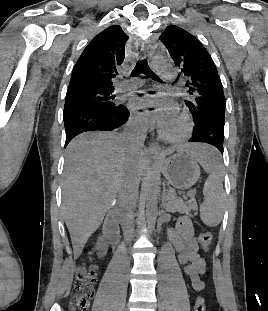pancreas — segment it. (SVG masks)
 <instances>
[{"mask_svg":"<svg viewBox=\"0 0 268 311\" xmlns=\"http://www.w3.org/2000/svg\"><path fill=\"white\" fill-rule=\"evenodd\" d=\"M193 195L194 194L188 195L190 200L184 201L181 197L177 196L174 190H169L168 193L164 195V207L167 212L189 214L191 210H197V204Z\"/></svg>","mask_w":268,"mask_h":311,"instance_id":"1","label":"pancreas"}]
</instances>
